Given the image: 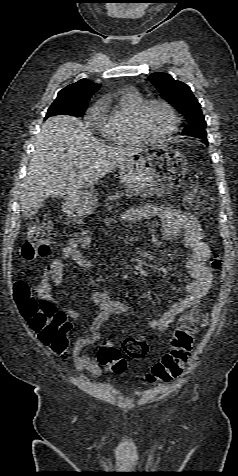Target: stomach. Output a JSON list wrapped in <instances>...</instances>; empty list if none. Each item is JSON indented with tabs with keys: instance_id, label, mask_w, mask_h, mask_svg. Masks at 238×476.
I'll use <instances>...</instances> for the list:
<instances>
[{
	"instance_id": "obj_1",
	"label": "stomach",
	"mask_w": 238,
	"mask_h": 476,
	"mask_svg": "<svg viewBox=\"0 0 238 476\" xmlns=\"http://www.w3.org/2000/svg\"><path fill=\"white\" fill-rule=\"evenodd\" d=\"M187 170L181 152L165 144H146L143 152H133L132 159L119 166L122 185L137 194L159 196L170 193ZM92 186L80 188L64 199V212L72 217L91 214L97 206Z\"/></svg>"
}]
</instances>
